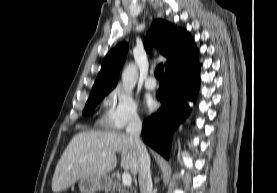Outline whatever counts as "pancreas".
<instances>
[{
	"label": "pancreas",
	"mask_w": 277,
	"mask_h": 193,
	"mask_svg": "<svg viewBox=\"0 0 277 193\" xmlns=\"http://www.w3.org/2000/svg\"><path fill=\"white\" fill-rule=\"evenodd\" d=\"M115 191H118L119 193H136V190L128 188L116 180L112 184L111 193H114Z\"/></svg>",
	"instance_id": "obj_1"
}]
</instances>
